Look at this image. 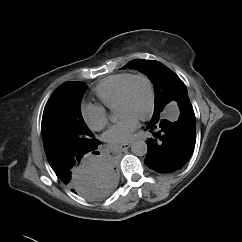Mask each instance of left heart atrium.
Segmentation results:
<instances>
[{
  "mask_svg": "<svg viewBox=\"0 0 242 242\" xmlns=\"http://www.w3.org/2000/svg\"><path fill=\"white\" fill-rule=\"evenodd\" d=\"M138 118L125 114L105 132V139L112 144L126 143L131 140L134 131L138 128Z\"/></svg>",
  "mask_w": 242,
  "mask_h": 242,
  "instance_id": "1",
  "label": "left heart atrium"
}]
</instances>
